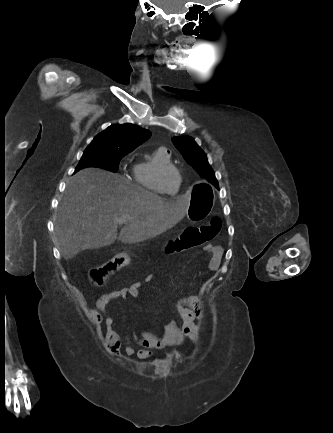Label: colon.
<instances>
[{
  "instance_id": "obj_1",
  "label": "colon",
  "mask_w": 333,
  "mask_h": 433,
  "mask_svg": "<svg viewBox=\"0 0 333 433\" xmlns=\"http://www.w3.org/2000/svg\"><path fill=\"white\" fill-rule=\"evenodd\" d=\"M221 228V220L213 217L201 226H191L186 228L181 236H169L164 239L166 244L162 245L163 253H174L197 246L204 245L215 238ZM132 255V252H129ZM125 265L126 268L132 267L131 261H125L122 257L113 256L106 263L93 268L90 271V278L94 285H100L110 275L120 270Z\"/></svg>"
}]
</instances>
